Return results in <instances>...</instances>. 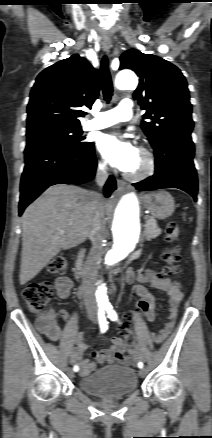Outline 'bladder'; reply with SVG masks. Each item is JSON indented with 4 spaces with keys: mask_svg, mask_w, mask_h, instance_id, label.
<instances>
[{
    "mask_svg": "<svg viewBox=\"0 0 212 438\" xmlns=\"http://www.w3.org/2000/svg\"><path fill=\"white\" fill-rule=\"evenodd\" d=\"M137 385L135 370L125 367L105 368L78 381L82 390L104 399L127 396L137 389Z\"/></svg>",
    "mask_w": 212,
    "mask_h": 438,
    "instance_id": "bladder-1",
    "label": "bladder"
}]
</instances>
